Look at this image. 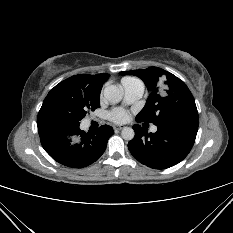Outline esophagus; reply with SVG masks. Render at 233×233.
Instances as JSON below:
<instances>
[{
	"label": "esophagus",
	"mask_w": 233,
	"mask_h": 233,
	"mask_svg": "<svg viewBox=\"0 0 233 233\" xmlns=\"http://www.w3.org/2000/svg\"><path fill=\"white\" fill-rule=\"evenodd\" d=\"M123 128H124V126H118V125H114V126H113V129H114L115 131L121 130V129H123Z\"/></svg>",
	"instance_id": "34e87169"
}]
</instances>
